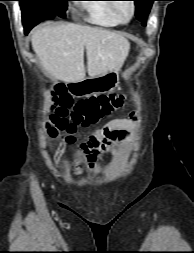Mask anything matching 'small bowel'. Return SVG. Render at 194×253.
<instances>
[{"label": "small bowel", "instance_id": "obj_1", "mask_svg": "<svg viewBox=\"0 0 194 253\" xmlns=\"http://www.w3.org/2000/svg\"><path fill=\"white\" fill-rule=\"evenodd\" d=\"M137 115L132 112L129 118L113 119L104 127L97 129L87 141L80 145L84 156L81 162L74 167L76 173L85 169H93L106 156L115 151L116 143L122 141L126 134L135 129Z\"/></svg>", "mask_w": 194, "mask_h": 253}]
</instances>
